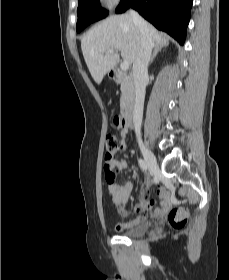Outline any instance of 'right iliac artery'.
I'll list each match as a JSON object with an SVG mask.
<instances>
[{"instance_id": "right-iliac-artery-1", "label": "right iliac artery", "mask_w": 229, "mask_h": 280, "mask_svg": "<svg viewBox=\"0 0 229 280\" xmlns=\"http://www.w3.org/2000/svg\"><path fill=\"white\" fill-rule=\"evenodd\" d=\"M138 163H139V166H140V168L143 170V171H147V165H146V162L144 161V160H142V159H139L138 160Z\"/></svg>"}]
</instances>
